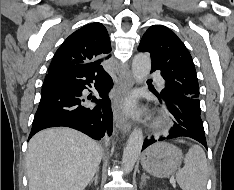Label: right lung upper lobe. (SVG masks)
I'll return each mask as SVG.
<instances>
[{
  "label": "right lung upper lobe",
  "instance_id": "cb5924a9",
  "mask_svg": "<svg viewBox=\"0 0 234 190\" xmlns=\"http://www.w3.org/2000/svg\"><path fill=\"white\" fill-rule=\"evenodd\" d=\"M111 43L106 28L98 22L88 24L72 33L58 48L48 73L77 64L103 61L109 58ZM108 55V56H107Z\"/></svg>",
  "mask_w": 234,
  "mask_h": 190
}]
</instances>
